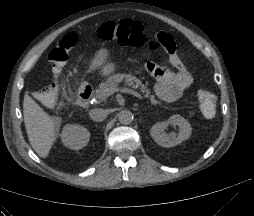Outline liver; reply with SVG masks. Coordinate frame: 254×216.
Returning a JSON list of instances; mask_svg holds the SVG:
<instances>
[{"label":"liver","instance_id":"obj_1","mask_svg":"<svg viewBox=\"0 0 254 216\" xmlns=\"http://www.w3.org/2000/svg\"><path fill=\"white\" fill-rule=\"evenodd\" d=\"M23 116L32 148L46 158L57 138L61 119L46 113L28 94L24 96Z\"/></svg>","mask_w":254,"mask_h":216}]
</instances>
